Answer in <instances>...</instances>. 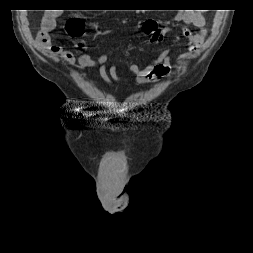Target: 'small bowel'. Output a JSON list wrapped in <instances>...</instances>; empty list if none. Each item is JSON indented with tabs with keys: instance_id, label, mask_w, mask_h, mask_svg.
I'll return each mask as SVG.
<instances>
[{
	"instance_id": "c3829d8e",
	"label": "small bowel",
	"mask_w": 253,
	"mask_h": 253,
	"mask_svg": "<svg viewBox=\"0 0 253 253\" xmlns=\"http://www.w3.org/2000/svg\"><path fill=\"white\" fill-rule=\"evenodd\" d=\"M184 21L187 24H192L198 28L197 32H193L186 26L181 28V34L188 39L190 49L195 50L204 42L207 36L205 17L202 13L196 12L185 16ZM55 28L56 16L53 13L45 14L42 18L41 26L36 35L37 43L40 46L61 55V57L64 58V60H66L69 64H77L82 69L94 67L96 64H98L99 75L108 85L127 82V80L119 74L114 65L110 66L109 68L106 66L108 61L107 55H101L95 60L89 55L84 54L76 59L75 55L71 51L65 50L61 46L52 44L50 34ZM143 30L146 34L150 35L151 43L159 46L163 43L170 28L169 26H159L156 20L149 19L144 23ZM179 41L180 37L175 36L173 39L174 44H178ZM187 57L188 53L180 54L176 58V61L179 62ZM129 69L135 75V81L139 85L157 82L167 77L172 71L169 50H161L159 54L144 67H141L136 63H132L130 64Z\"/></svg>"
}]
</instances>
